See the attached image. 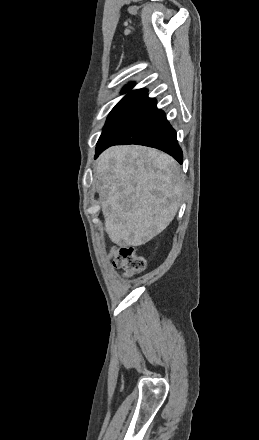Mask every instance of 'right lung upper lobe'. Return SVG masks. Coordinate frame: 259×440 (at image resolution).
<instances>
[{
    "label": "right lung upper lobe",
    "instance_id": "obj_1",
    "mask_svg": "<svg viewBox=\"0 0 259 440\" xmlns=\"http://www.w3.org/2000/svg\"><path fill=\"white\" fill-rule=\"evenodd\" d=\"M132 87H133V85L129 84L123 89L122 92H128L131 90ZM146 93H147V89L142 88V89L131 91L129 94H146Z\"/></svg>",
    "mask_w": 259,
    "mask_h": 440
}]
</instances>
